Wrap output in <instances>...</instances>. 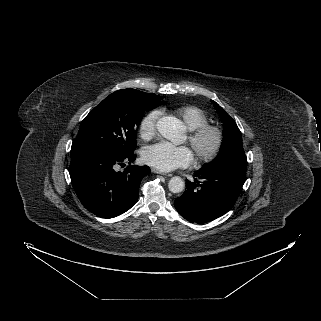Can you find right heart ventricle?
Returning a JSON list of instances; mask_svg holds the SVG:
<instances>
[{"instance_id": "e07e8e85", "label": "right heart ventricle", "mask_w": 321, "mask_h": 321, "mask_svg": "<svg viewBox=\"0 0 321 321\" xmlns=\"http://www.w3.org/2000/svg\"><path fill=\"white\" fill-rule=\"evenodd\" d=\"M174 113L181 118L188 130L196 129L209 121L208 115L195 105L179 107L175 109Z\"/></svg>"}]
</instances>
